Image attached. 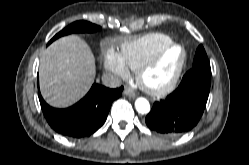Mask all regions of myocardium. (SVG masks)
I'll use <instances>...</instances> for the list:
<instances>
[{
    "mask_svg": "<svg viewBox=\"0 0 249 165\" xmlns=\"http://www.w3.org/2000/svg\"><path fill=\"white\" fill-rule=\"evenodd\" d=\"M180 51V56L171 64L168 77L162 81L151 83L148 75L155 69L162 66L166 57L174 50ZM187 60L186 48L179 43H171L162 49L155 57L143 62L136 70V81L147 93L155 96H162L171 92L178 83Z\"/></svg>",
    "mask_w": 249,
    "mask_h": 165,
    "instance_id": "f54148a6",
    "label": "myocardium"
}]
</instances>
